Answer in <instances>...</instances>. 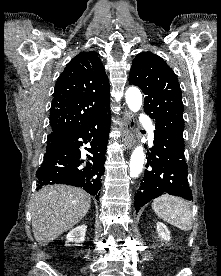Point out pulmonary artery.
<instances>
[{"instance_id":"e3ab8cb5","label":"pulmonary artery","mask_w":221,"mask_h":276,"mask_svg":"<svg viewBox=\"0 0 221 276\" xmlns=\"http://www.w3.org/2000/svg\"><path fill=\"white\" fill-rule=\"evenodd\" d=\"M147 129H148L149 137L151 139H153V136H154V134H153V126L151 124H148L147 125Z\"/></svg>"}]
</instances>
